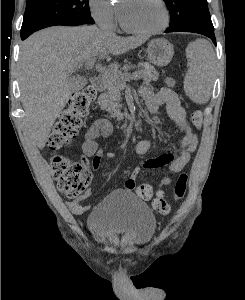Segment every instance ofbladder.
I'll list each match as a JSON object with an SVG mask.
<instances>
[{"label": "bladder", "instance_id": "31cf9c89", "mask_svg": "<svg viewBox=\"0 0 245 300\" xmlns=\"http://www.w3.org/2000/svg\"><path fill=\"white\" fill-rule=\"evenodd\" d=\"M87 225L98 243L142 246L153 237L156 219L151 209L133 193L116 190L94 206Z\"/></svg>", "mask_w": 245, "mask_h": 300}]
</instances>
